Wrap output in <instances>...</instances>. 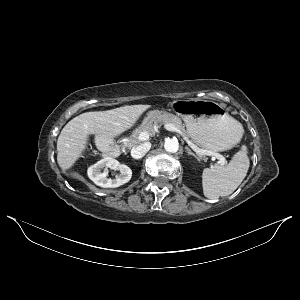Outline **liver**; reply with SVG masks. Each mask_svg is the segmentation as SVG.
<instances>
[{"instance_id":"liver-1","label":"liver","mask_w":300,"mask_h":300,"mask_svg":"<svg viewBox=\"0 0 300 300\" xmlns=\"http://www.w3.org/2000/svg\"><path fill=\"white\" fill-rule=\"evenodd\" d=\"M148 105H131L107 111L86 112L70 120L57 140V162L70 169L86 149L89 135L113 138L134 126Z\"/></svg>"}]
</instances>
